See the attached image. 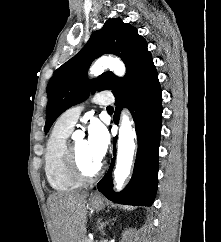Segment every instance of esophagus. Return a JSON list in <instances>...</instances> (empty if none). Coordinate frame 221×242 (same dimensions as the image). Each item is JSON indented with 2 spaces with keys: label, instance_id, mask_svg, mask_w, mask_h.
Listing matches in <instances>:
<instances>
[{
  "label": "esophagus",
  "instance_id": "1",
  "mask_svg": "<svg viewBox=\"0 0 221 242\" xmlns=\"http://www.w3.org/2000/svg\"><path fill=\"white\" fill-rule=\"evenodd\" d=\"M97 196H98V194H97V193H95V194H94V197H97Z\"/></svg>",
  "mask_w": 221,
  "mask_h": 242
}]
</instances>
